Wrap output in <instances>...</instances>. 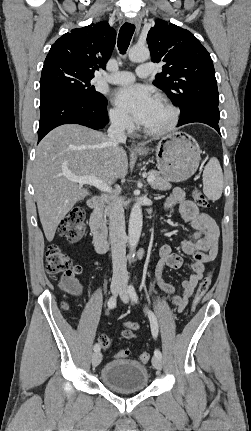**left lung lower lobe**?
<instances>
[{"instance_id":"1","label":"left lung lower lobe","mask_w":251,"mask_h":431,"mask_svg":"<svg viewBox=\"0 0 251 431\" xmlns=\"http://www.w3.org/2000/svg\"><path fill=\"white\" fill-rule=\"evenodd\" d=\"M219 118L220 114L218 106L202 105L192 109L186 115L182 116L179 120L178 126L187 123L200 122L213 127L218 133H220L218 126Z\"/></svg>"}]
</instances>
